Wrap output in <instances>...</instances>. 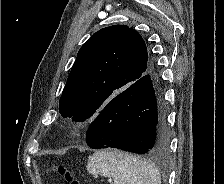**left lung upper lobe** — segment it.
Wrapping results in <instances>:
<instances>
[{
    "label": "left lung upper lobe",
    "instance_id": "left-lung-upper-lobe-1",
    "mask_svg": "<svg viewBox=\"0 0 224 184\" xmlns=\"http://www.w3.org/2000/svg\"><path fill=\"white\" fill-rule=\"evenodd\" d=\"M153 62L140 34L125 25L97 31L80 48L62 92L61 115L84 122L149 73Z\"/></svg>",
    "mask_w": 224,
    "mask_h": 184
}]
</instances>
